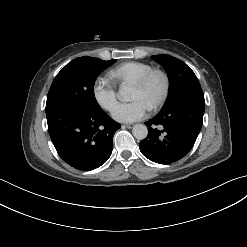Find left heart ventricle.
Wrapping results in <instances>:
<instances>
[{
	"instance_id": "obj_1",
	"label": "left heart ventricle",
	"mask_w": 247,
	"mask_h": 247,
	"mask_svg": "<svg viewBox=\"0 0 247 247\" xmlns=\"http://www.w3.org/2000/svg\"><path fill=\"white\" fill-rule=\"evenodd\" d=\"M163 87V79L160 76H155L146 88H139L134 85L131 98L142 99L150 107L161 95Z\"/></svg>"
}]
</instances>
